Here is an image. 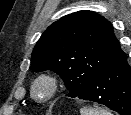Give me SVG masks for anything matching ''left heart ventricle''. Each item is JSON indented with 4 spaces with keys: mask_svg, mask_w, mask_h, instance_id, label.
<instances>
[{
    "mask_svg": "<svg viewBox=\"0 0 131 115\" xmlns=\"http://www.w3.org/2000/svg\"><path fill=\"white\" fill-rule=\"evenodd\" d=\"M37 95L39 97H44L47 93V86L46 84L44 83H40L38 86H37Z\"/></svg>",
    "mask_w": 131,
    "mask_h": 115,
    "instance_id": "1",
    "label": "left heart ventricle"
}]
</instances>
